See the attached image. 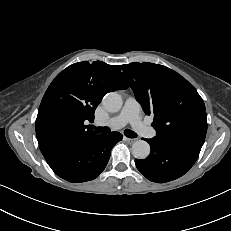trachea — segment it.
Segmentation results:
<instances>
[{
    "label": "trachea",
    "mask_w": 231,
    "mask_h": 231,
    "mask_svg": "<svg viewBox=\"0 0 231 231\" xmlns=\"http://www.w3.org/2000/svg\"><path fill=\"white\" fill-rule=\"evenodd\" d=\"M97 132L99 133H103V134H108L110 132V128L109 127H93ZM124 134L126 137L128 138H136L137 137V134L130 130V129H126L124 131Z\"/></svg>",
    "instance_id": "obj_1"
}]
</instances>
